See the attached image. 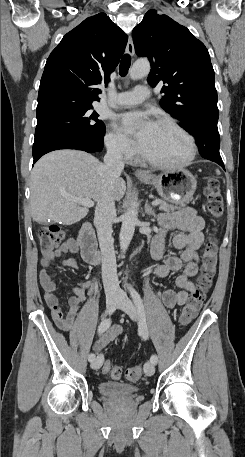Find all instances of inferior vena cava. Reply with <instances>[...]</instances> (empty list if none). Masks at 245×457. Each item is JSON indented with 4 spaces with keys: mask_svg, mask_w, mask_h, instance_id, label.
<instances>
[{
    "mask_svg": "<svg viewBox=\"0 0 245 457\" xmlns=\"http://www.w3.org/2000/svg\"><path fill=\"white\" fill-rule=\"evenodd\" d=\"M122 142L109 146L104 156L103 166L98 170L103 190L95 208L94 224L97 229L98 241L102 255V281L106 295H118L121 289L117 277V265L112 237V220L116 216L115 202L110 194L111 186L120 176L124 162L121 152Z\"/></svg>",
    "mask_w": 245,
    "mask_h": 457,
    "instance_id": "1",
    "label": "inferior vena cava"
}]
</instances>
